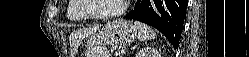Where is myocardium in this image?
Segmentation results:
<instances>
[{"instance_id":"1","label":"myocardium","mask_w":249,"mask_h":57,"mask_svg":"<svg viewBox=\"0 0 249 57\" xmlns=\"http://www.w3.org/2000/svg\"><path fill=\"white\" fill-rule=\"evenodd\" d=\"M78 1V10L86 18L94 20H113L120 17L127 10L129 5V0H124L121 8L118 11L109 14H96L90 13L88 9L89 0H77Z\"/></svg>"}]
</instances>
